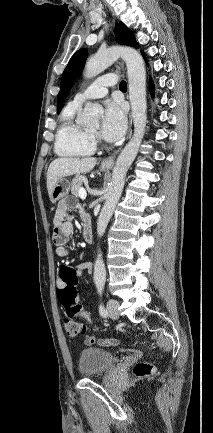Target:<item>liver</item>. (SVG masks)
Returning a JSON list of instances; mask_svg holds the SVG:
<instances>
[{
  "instance_id": "1",
  "label": "liver",
  "mask_w": 213,
  "mask_h": 433,
  "mask_svg": "<svg viewBox=\"0 0 213 433\" xmlns=\"http://www.w3.org/2000/svg\"><path fill=\"white\" fill-rule=\"evenodd\" d=\"M97 163L94 157L57 158L51 162L47 171V190L50 195L56 183L63 177L91 171Z\"/></svg>"
}]
</instances>
